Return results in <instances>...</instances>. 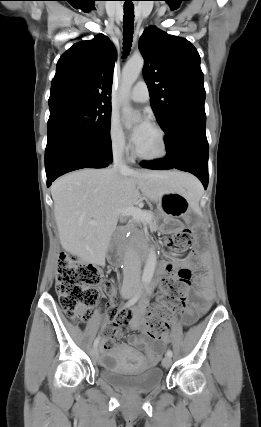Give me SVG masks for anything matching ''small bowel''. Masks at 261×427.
<instances>
[{"mask_svg":"<svg viewBox=\"0 0 261 427\" xmlns=\"http://www.w3.org/2000/svg\"><path fill=\"white\" fill-rule=\"evenodd\" d=\"M195 260L196 257L194 254H190L185 259H182L178 262L172 263L168 261H162L159 264V277L154 282V286H160L161 293H164L163 282L169 276L170 270L175 268V266H181L183 268H195ZM196 284L198 285V289L195 292V295L200 302L195 303L192 306V309L188 310L184 316V322L186 324H190L193 322L198 316L205 313L213 299V288L208 275H200L195 279ZM112 298H114V294H112ZM149 300L145 298L140 302V304L131 309L123 310L119 312L116 309L115 304L113 302H108L106 304L107 312L111 317H113L114 322L113 325L106 329L103 333L104 350L110 349L118 338H121L125 332L126 326L130 325L135 331H145V318L144 313L148 308ZM156 340L160 342V344L156 343ZM169 336L164 334L155 340H148L143 336L139 335H129L128 342L129 344L136 348L137 350L143 351L146 354L144 358L139 353H135L133 355L134 360L141 363L142 366H155L161 356V352L164 346L168 343Z\"/></svg>","mask_w":261,"mask_h":427,"instance_id":"obj_1","label":"small bowel"}]
</instances>
